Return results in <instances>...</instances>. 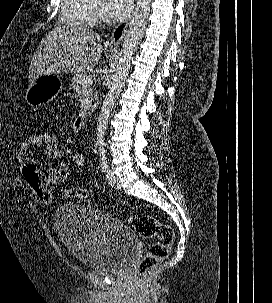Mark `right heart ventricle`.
<instances>
[{"label":"right heart ventricle","mask_w":272,"mask_h":303,"mask_svg":"<svg viewBox=\"0 0 272 303\" xmlns=\"http://www.w3.org/2000/svg\"><path fill=\"white\" fill-rule=\"evenodd\" d=\"M60 21L73 27H87L94 22L92 0H61Z\"/></svg>","instance_id":"e07e8e85"}]
</instances>
